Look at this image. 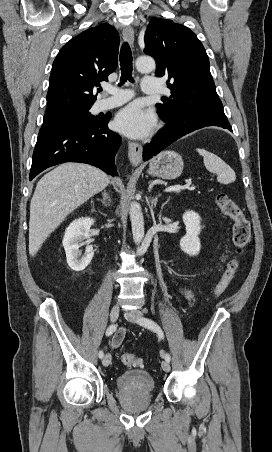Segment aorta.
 Returning a JSON list of instances; mask_svg holds the SVG:
<instances>
[{
  "instance_id": "aorta-1",
  "label": "aorta",
  "mask_w": 272,
  "mask_h": 452,
  "mask_svg": "<svg viewBox=\"0 0 272 452\" xmlns=\"http://www.w3.org/2000/svg\"><path fill=\"white\" fill-rule=\"evenodd\" d=\"M155 66V61L151 57H139L136 60V68L142 73L153 71ZM130 221L133 241L135 244H140L144 238V218L141 206L137 202H132L130 205Z\"/></svg>"
}]
</instances>
